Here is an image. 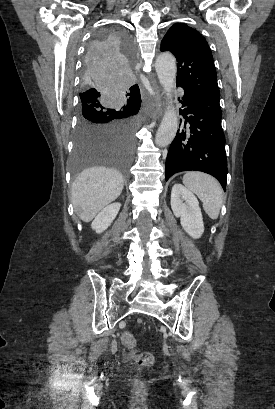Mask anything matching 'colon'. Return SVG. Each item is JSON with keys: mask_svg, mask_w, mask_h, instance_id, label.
I'll list each match as a JSON object with an SVG mask.
<instances>
[{"mask_svg": "<svg viewBox=\"0 0 275 409\" xmlns=\"http://www.w3.org/2000/svg\"><path fill=\"white\" fill-rule=\"evenodd\" d=\"M122 346L128 351L129 358L142 368H150L154 363L153 355L150 352H141L137 349L135 336L125 331L120 337Z\"/></svg>", "mask_w": 275, "mask_h": 409, "instance_id": "colon-1", "label": "colon"}]
</instances>
